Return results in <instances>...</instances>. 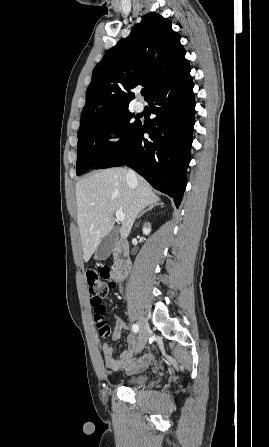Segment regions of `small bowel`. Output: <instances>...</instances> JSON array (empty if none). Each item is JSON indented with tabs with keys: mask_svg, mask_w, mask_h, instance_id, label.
<instances>
[{
	"mask_svg": "<svg viewBox=\"0 0 269 447\" xmlns=\"http://www.w3.org/2000/svg\"><path fill=\"white\" fill-rule=\"evenodd\" d=\"M115 319V328L111 334L112 338L117 340L121 338L123 333L128 329V325L125 320L116 312L113 313ZM128 350L119 354L118 357L113 355V349L110 344L105 343L102 346V353L104 356L105 364L110 369L124 368L128 372H134L147 367L153 358L152 354L145 352L139 359L134 360L133 356L136 354V339L132 334L125 337Z\"/></svg>",
	"mask_w": 269,
	"mask_h": 447,
	"instance_id": "c3829d8e",
	"label": "small bowel"
}]
</instances>
